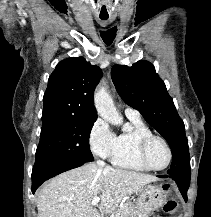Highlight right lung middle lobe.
I'll list each match as a JSON object with an SVG mask.
<instances>
[{
    "label": "right lung middle lobe",
    "instance_id": "dd1d6c3e",
    "mask_svg": "<svg viewBox=\"0 0 211 217\" xmlns=\"http://www.w3.org/2000/svg\"><path fill=\"white\" fill-rule=\"evenodd\" d=\"M96 119L57 116L42 119L36 161L64 160L91 162L89 135Z\"/></svg>",
    "mask_w": 211,
    "mask_h": 217
}]
</instances>
